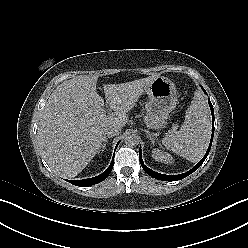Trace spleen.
Instances as JSON below:
<instances>
[{"label":"spleen","instance_id":"3e777b00","mask_svg":"<svg viewBox=\"0 0 248 248\" xmlns=\"http://www.w3.org/2000/svg\"><path fill=\"white\" fill-rule=\"evenodd\" d=\"M210 135L209 108L203 95L195 92L180 130L166 135L162 143L168 150L191 162H197L205 154Z\"/></svg>","mask_w":248,"mask_h":248}]
</instances>
